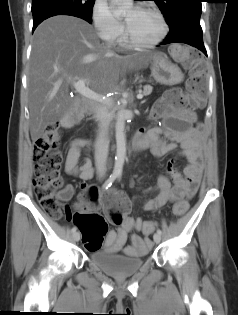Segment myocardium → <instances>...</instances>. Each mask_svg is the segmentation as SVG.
<instances>
[{
  "mask_svg": "<svg viewBox=\"0 0 238 315\" xmlns=\"http://www.w3.org/2000/svg\"><path fill=\"white\" fill-rule=\"evenodd\" d=\"M139 9L147 10V11L153 13L159 19L160 24H161V33L159 34V36L156 39H154L152 41L139 42V41H136L135 39L132 38L130 31H129V28H128L127 24H125V29H124L125 41L131 47L138 48V49H146V48L154 47V46L160 44L166 38V36L169 32L168 23H167L164 15L162 14V12L155 7L144 6V7H141Z\"/></svg>",
  "mask_w": 238,
  "mask_h": 315,
  "instance_id": "myocardium-1",
  "label": "myocardium"
}]
</instances>
